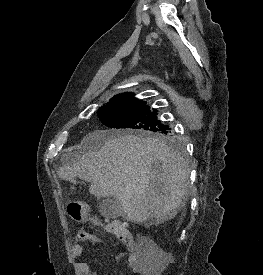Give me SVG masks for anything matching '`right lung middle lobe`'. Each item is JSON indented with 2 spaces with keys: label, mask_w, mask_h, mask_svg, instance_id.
<instances>
[{
  "label": "right lung middle lobe",
  "mask_w": 263,
  "mask_h": 275,
  "mask_svg": "<svg viewBox=\"0 0 263 275\" xmlns=\"http://www.w3.org/2000/svg\"><path fill=\"white\" fill-rule=\"evenodd\" d=\"M101 122L111 128L133 129L140 134H154V138L179 145L177 137L168 132L167 125L157 119V110H150L146 102L119 94L110 103L100 107L97 113Z\"/></svg>",
  "instance_id": "obj_1"
}]
</instances>
